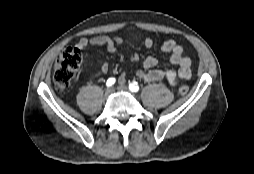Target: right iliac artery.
Segmentation results:
<instances>
[{
    "label": "right iliac artery",
    "instance_id": "82829eb1",
    "mask_svg": "<svg viewBox=\"0 0 254 174\" xmlns=\"http://www.w3.org/2000/svg\"><path fill=\"white\" fill-rule=\"evenodd\" d=\"M115 81H116L115 78H109L106 82V85L110 87L115 83Z\"/></svg>",
    "mask_w": 254,
    "mask_h": 174
}]
</instances>
